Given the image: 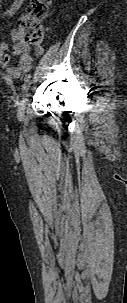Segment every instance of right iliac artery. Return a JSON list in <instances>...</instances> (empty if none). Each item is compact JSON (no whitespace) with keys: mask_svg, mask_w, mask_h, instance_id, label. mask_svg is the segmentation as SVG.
<instances>
[{"mask_svg":"<svg viewBox=\"0 0 127 303\" xmlns=\"http://www.w3.org/2000/svg\"><path fill=\"white\" fill-rule=\"evenodd\" d=\"M31 76L30 75H28L26 78H25V83H24V85H23V87H22V90H23V92H27L28 90H29V87H30V85H31Z\"/></svg>","mask_w":127,"mask_h":303,"instance_id":"right-iliac-artery-1","label":"right iliac artery"}]
</instances>
